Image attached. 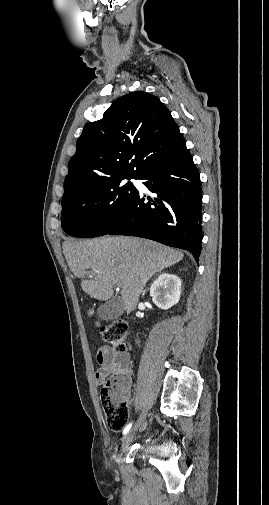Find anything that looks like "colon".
<instances>
[{
  "label": "colon",
  "mask_w": 269,
  "mask_h": 505,
  "mask_svg": "<svg viewBox=\"0 0 269 505\" xmlns=\"http://www.w3.org/2000/svg\"><path fill=\"white\" fill-rule=\"evenodd\" d=\"M99 330L104 342L115 353H123L126 350L128 325L125 321L115 320L109 324L101 325ZM125 392V380L117 377L106 381L101 390V402L106 422L113 431L122 430L128 419Z\"/></svg>",
  "instance_id": "5ec220e1"
}]
</instances>
